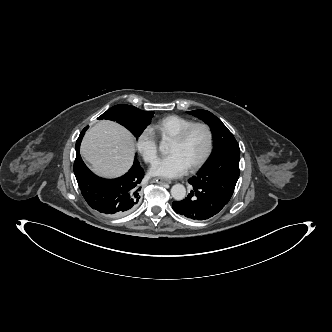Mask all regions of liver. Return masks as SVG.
<instances>
[{"label": "liver", "mask_w": 332, "mask_h": 332, "mask_svg": "<svg viewBox=\"0 0 332 332\" xmlns=\"http://www.w3.org/2000/svg\"><path fill=\"white\" fill-rule=\"evenodd\" d=\"M80 150L90 169L106 178L125 174L135 154L131 134L121 125L108 120L99 121L86 132Z\"/></svg>", "instance_id": "obj_1"}]
</instances>
